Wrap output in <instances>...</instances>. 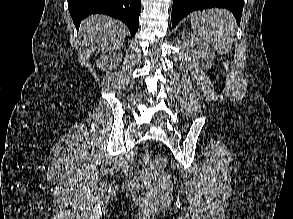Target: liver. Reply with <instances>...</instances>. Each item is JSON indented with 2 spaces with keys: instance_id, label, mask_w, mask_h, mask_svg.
Returning <instances> with one entry per match:
<instances>
[{
  "instance_id": "1",
  "label": "liver",
  "mask_w": 293,
  "mask_h": 219,
  "mask_svg": "<svg viewBox=\"0 0 293 219\" xmlns=\"http://www.w3.org/2000/svg\"><path fill=\"white\" fill-rule=\"evenodd\" d=\"M80 29L94 48L102 52L118 49L125 40V31L121 24L103 15H91L82 22Z\"/></svg>"
}]
</instances>
